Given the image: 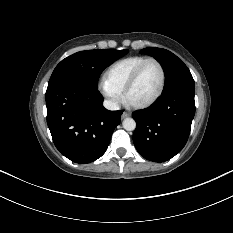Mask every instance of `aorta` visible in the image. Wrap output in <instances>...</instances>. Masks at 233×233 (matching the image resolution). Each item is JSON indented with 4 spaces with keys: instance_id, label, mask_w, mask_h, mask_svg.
<instances>
[{
    "instance_id": "1",
    "label": "aorta",
    "mask_w": 233,
    "mask_h": 233,
    "mask_svg": "<svg viewBox=\"0 0 233 233\" xmlns=\"http://www.w3.org/2000/svg\"><path fill=\"white\" fill-rule=\"evenodd\" d=\"M122 125L123 128L127 131H133L136 128V122L133 118H125Z\"/></svg>"
}]
</instances>
